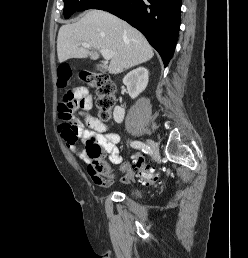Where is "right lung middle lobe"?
<instances>
[{
	"label": "right lung middle lobe",
	"mask_w": 248,
	"mask_h": 258,
	"mask_svg": "<svg viewBox=\"0 0 248 258\" xmlns=\"http://www.w3.org/2000/svg\"><path fill=\"white\" fill-rule=\"evenodd\" d=\"M108 0H64V17L67 19L76 11L95 8Z\"/></svg>",
	"instance_id": "obj_1"
}]
</instances>
